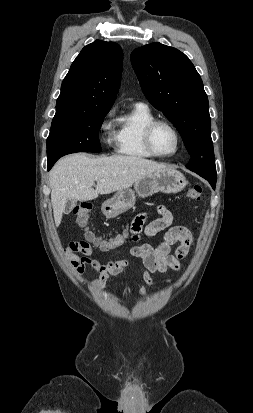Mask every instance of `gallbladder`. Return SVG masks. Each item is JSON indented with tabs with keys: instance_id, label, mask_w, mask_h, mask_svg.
Returning <instances> with one entry per match:
<instances>
[{
	"instance_id": "gallbladder-1",
	"label": "gallbladder",
	"mask_w": 253,
	"mask_h": 413,
	"mask_svg": "<svg viewBox=\"0 0 253 413\" xmlns=\"http://www.w3.org/2000/svg\"><path fill=\"white\" fill-rule=\"evenodd\" d=\"M75 204H76L75 200L70 201L66 206L65 214H69L71 212L72 208L75 206Z\"/></svg>"
}]
</instances>
